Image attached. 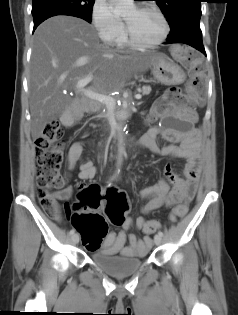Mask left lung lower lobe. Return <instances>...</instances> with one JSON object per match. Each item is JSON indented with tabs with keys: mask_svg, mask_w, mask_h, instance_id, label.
Wrapping results in <instances>:
<instances>
[{
	"mask_svg": "<svg viewBox=\"0 0 238 315\" xmlns=\"http://www.w3.org/2000/svg\"><path fill=\"white\" fill-rule=\"evenodd\" d=\"M170 43H184L188 44L206 55L202 43V32L200 29V21L194 20L184 24L179 30L173 34H169L167 42Z\"/></svg>",
	"mask_w": 238,
	"mask_h": 315,
	"instance_id": "1",
	"label": "left lung lower lobe"
}]
</instances>
